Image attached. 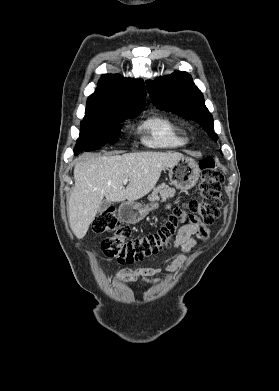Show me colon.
<instances>
[{
    "label": "colon",
    "instance_id": "colon-1",
    "mask_svg": "<svg viewBox=\"0 0 279 391\" xmlns=\"http://www.w3.org/2000/svg\"><path fill=\"white\" fill-rule=\"evenodd\" d=\"M221 185L222 174L214 160H202L199 198L175 207L167 221L156 232L146 235L132 236L129 227L121 223L115 209L107 208L93 222L95 232L110 233V236L101 242L104 254L119 263H133L169 248L176 240L184 212H187L191 222L198 226V237L208 239L210 232L206 226L212 224L221 212Z\"/></svg>",
    "mask_w": 279,
    "mask_h": 391
}]
</instances>
